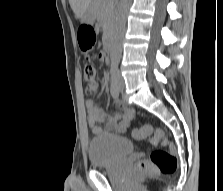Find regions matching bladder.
I'll list each match as a JSON object with an SVG mask.
<instances>
[{"instance_id":"1","label":"bladder","mask_w":223,"mask_h":191,"mask_svg":"<svg viewBox=\"0 0 223 191\" xmlns=\"http://www.w3.org/2000/svg\"><path fill=\"white\" fill-rule=\"evenodd\" d=\"M133 152V143L126 137L100 135L88 144V156L93 167L113 166Z\"/></svg>"}]
</instances>
